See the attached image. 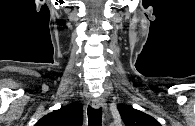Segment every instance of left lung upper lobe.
<instances>
[{"mask_svg": "<svg viewBox=\"0 0 195 126\" xmlns=\"http://www.w3.org/2000/svg\"><path fill=\"white\" fill-rule=\"evenodd\" d=\"M117 107L126 126H161L153 117L131 106L118 104Z\"/></svg>", "mask_w": 195, "mask_h": 126, "instance_id": "5c2ea615", "label": "left lung upper lobe"}]
</instances>
